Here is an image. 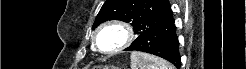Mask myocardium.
I'll list each match as a JSON object with an SVG mask.
<instances>
[{
    "label": "myocardium",
    "instance_id": "obj_1",
    "mask_svg": "<svg viewBox=\"0 0 246 69\" xmlns=\"http://www.w3.org/2000/svg\"><path fill=\"white\" fill-rule=\"evenodd\" d=\"M108 28H115V29L120 30L123 33V39H122V42L114 49L110 51H101L99 43H98V36L102 31ZM132 39H133V30H132V27L128 23L122 20H110V21L103 23L95 31L94 36H93V44L102 54H113V53H116L118 51H121L127 48L131 44Z\"/></svg>",
    "mask_w": 246,
    "mask_h": 69
}]
</instances>
